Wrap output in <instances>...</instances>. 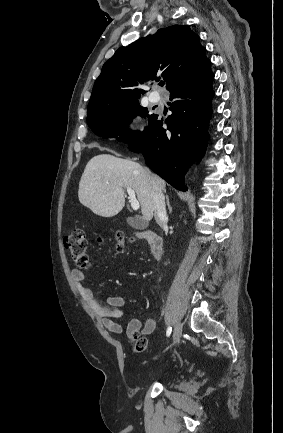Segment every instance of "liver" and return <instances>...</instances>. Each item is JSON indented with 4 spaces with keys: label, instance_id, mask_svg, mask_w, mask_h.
I'll use <instances>...</instances> for the list:
<instances>
[{
    "label": "liver",
    "instance_id": "liver-1",
    "mask_svg": "<svg viewBox=\"0 0 283 433\" xmlns=\"http://www.w3.org/2000/svg\"><path fill=\"white\" fill-rule=\"evenodd\" d=\"M126 186L135 190L144 221H151L154 214V186L158 192H162L166 186L165 180L145 170L135 160L117 158L113 154L93 156L80 178L79 200L99 217H114L125 206Z\"/></svg>",
    "mask_w": 283,
    "mask_h": 433
}]
</instances>
